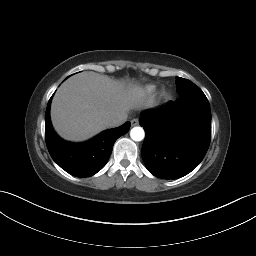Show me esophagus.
I'll return each instance as SVG.
<instances>
[{"label": "esophagus", "instance_id": "34e87169", "mask_svg": "<svg viewBox=\"0 0 256 256\" xmlns=\"http://www.w3.org/2000/svg\"><path fill=\"white\" fill-rule=\"evenodd\" d=\"M138 123H139V122H138V119H132V120H131V125H132V126H136V125H138Z\"/></svg>", "mask_w": 256, "mask_h": 256}]
</instances>
